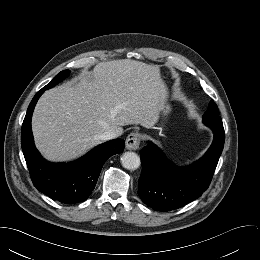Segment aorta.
Returning a JSON list of instances; mask_svg holds the SVG:
<instances>
[{
    "label": "aorta",
    "instance_id": "1",
    "mask_svg": "<svg viewBox=\"0 0 260 260\" xmlns=\"http://www.w3.org/2000/svg\"><path fill=\"white\" fill-rule=\"evenodd\" d=\"M121 164L128 170H136L141 164L140 157L134 152H125L121 156Z\"/></svg>",
    "mask_w": 260,
    "mask_h": 260
}]
</instances>
